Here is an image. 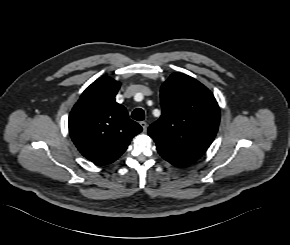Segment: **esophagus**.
I'll return each mask as SVG.
<instances>
[{"instance_id":"obj_1","label":"esophagus","mask_w":290,"mask_h":245,"mask_svg":"<svg viewBox=\"0 0 290 245\" xmlns=\"http://www.w3.org/2000/svg\"><path fill=\"white\" fill-rule=\"evenodd\" d=\"M140 125L143 128V132H146L148 127L147 123L145 121H141Z\"/></svg>"}]
</instances>
